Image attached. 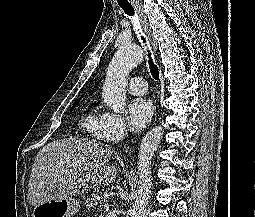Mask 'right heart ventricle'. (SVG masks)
<instances>
[{
	"label": "right heart ventricle",
	"instance_id": "obj_1",
	"mask_svg": "<svg viewBox=\"0 0 255 217\" xmlns=\"http://www.w3.org/2000/svg\"><path fill=\"white\" fill-rule=\"evenodd\" d=\"M99 118L100 114L98 113L97 109L92 108L83 116L80 122L82 129L95 138H102L98 129Z\"/></svg>",
	"mask_w": 255,
	"mask_h": 217
}]
</instances>
